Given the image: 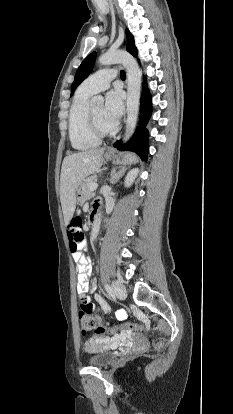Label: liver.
<instances>
[{
	"label": "liver",
	"mask_w": 233,
	"mask_h": 414,
	"mask_svg": "<svg viewBox=\"0 0 233 414\" xmlns=\"http://www.w3.org/2000/svg\"><path fill=\"white\" fill-rule=\"evenodd\" d=\"M104 150L93 148L64 158L60 175V199L66 225L71 221L76 208L78 186L102 166Z\"/></svg>",
	"instance_id": "6515ba94"
}]
</instances>
